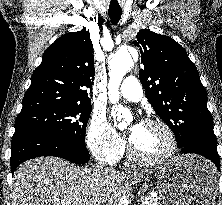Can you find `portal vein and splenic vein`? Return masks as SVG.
Here are the masks:
<instances>
[{
    "label": "portal vein and splenic vein",
    "instance_id": "1",
    "mask_svg": "<svg viewBox=\"0 0 222 205\" xmlns=\"http://www.w3.org/2000/svg\"><path fill=\"white\" fill-rule=\"evenodd\" d=\"M63 203H66V205H69L70 203L69 202H67V201H63Z\"/></svg>",
    "mask_w": 222,
    "mask_h": 205
}]
</instances>
